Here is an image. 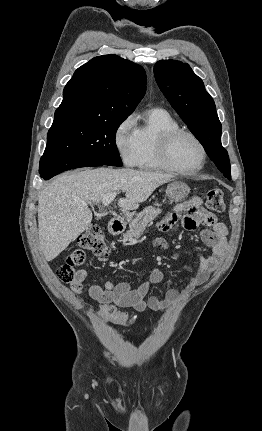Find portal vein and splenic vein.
I'll list each match as a JSON object with an SVG mask.
<instances>
[{"label":"portal vein and splenic vein","mask_w":262,"mask_h":431,"mask_svg":"<svg viewBox=\"0 0 262 431\" xmlns=\"http://www.w3.org/2000/svg\"><path fill=\"white\" fill-rule=\"evenodd\" d=\"M116 196H117V192L110 193L109 195L105 196L102 199V204L104 206H109L110 203L115 199ZM81 205L82 206H87V203L86 202H82Z\"/></svg>","instance_id":"portal-vein-and-splenic-vein-1"}]
</instances>
